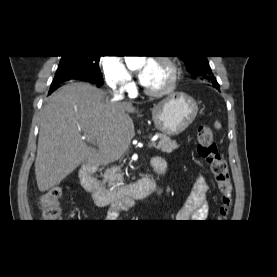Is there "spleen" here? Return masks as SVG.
Listing matches in <instances>:
<instances>
[{
  "label": "spleen",
  "mask_w": 277,
  "mask_h": 277,
  "mask_svg": "<svg viewBox=\"0 0 277 277\" xmlns=\"http://www.w3.org/2000/svg\"><path fill=\"white\" fill-rule=\"evenodd\" d=\"M214 126H215L216 129L221 128V124L218 121L215 122Z\"/></svg>",
  "instance_id": "1"
}]
</instances>
